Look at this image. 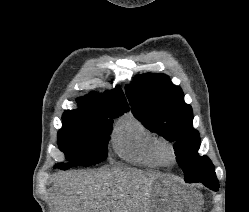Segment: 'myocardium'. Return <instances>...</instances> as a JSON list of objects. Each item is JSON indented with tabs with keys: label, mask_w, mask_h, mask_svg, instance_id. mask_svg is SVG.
<instances>
[{
	"label": "myocardium",
	"mask_w": 249,
	"mask_h": 212,
	"mask_svg": "<svg viewBox=\"0 0 249 212\" xmlns=\"http://www.w3.org/2000/svg\"><path fill=\"white\" fill-rule=\"evenodd\" d=\"M160 158L167 164H173L177 160V151L175 146L167 140H162L158 146Z\"/></svg>",
	"instance_id": "myocardium-1"
}]
</instances>
